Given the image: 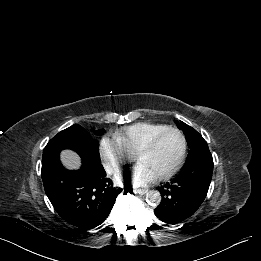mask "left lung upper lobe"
I'll return each mask as SVG.
<instances>
[{
  "mask_svg": "<svg viewBox=\"0 0 261 261\" xmlns=\"http://www.w3.org/2000/svg\"><path fill=\"white\" fill-rule=\"evenodd\" d=\"M176 124L181 130H183V133L186 136L188 146L190 148V152L188 153L187 160H186V162H187V161H189V159L192 157V155L195 152H197L201 148L206 147L207 143L203 139V137L195 129L188 126L184 122H182V121L177 122L176 121Z\"/></svg>",
  "mask_w": 261,
  "mask_h": 261,
  "instance_id": "obj_1",
  "label": "left lung upper lobe"
}]
</instances>
